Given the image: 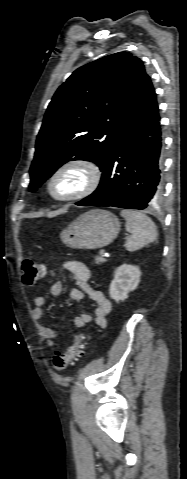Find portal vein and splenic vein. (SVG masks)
I'll use <instances>...</instances> for the list:
<instances>
[{"label": "portal vein and splenic vein", "instance_id": "1", "mask_svg": "<svg viewBox=\"0 0 187 479\" xmlns=\"http://www.w3.org/2000/svg\"><path fill=\"white\" fill-rule=\"evenodd\" d=\"M100 256H101V257H105V256H106V252H105L104 249H102V250L100 251Z\"/></svg>", "mask_w": 187, "mask_h": 479}]
</instances>
